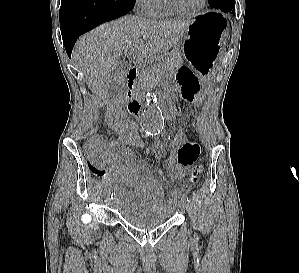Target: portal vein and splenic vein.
<instances>
[{
	"label": "portal vein and splenic vein",
	"mask_w": 299,
	"mask_h": 273,
	"mask_svg": "<svg viewBox=\"0 0 299 273\" xmlns=\"http://www.w3.org/2000/svg\"><path fill=\"white\" fill-rule=\"evenodd\" d=\"M136 60H137V62L143 63L144 57L139 56L136 58Z\"/></svg>",
	"instance_id": "obj_1"
}]
</instances>
